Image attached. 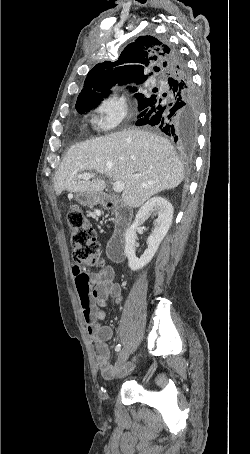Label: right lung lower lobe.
<instances>
[{"label":"right lung lower lobe","instance_id":"right-lung-lower-lobe-1","mask_svg":"<svg viewBox=\"0 0 250 454\" xmlns=\"http://www.w3.org/2000/svg\"><path fill=\"white\" fill-rule=\"evenodd\" d=\"M170 51V68L164 77L168 92L155 95L138 108L137 126H152L174 141L185 145L195 143L198 107L195 89L187 64L179 51L166 44Z\"/></svg>","mask_w":250,"mask_h":454}]
</instances>
